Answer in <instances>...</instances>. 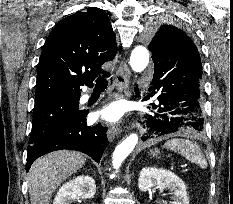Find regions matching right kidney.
Returning <instances> with one entry per match:
<instances>
[{
    "label": "right kidney",
    "instance_id": "1",
    "mask_svg": "<svg viewBox=\"0 0 233 204\" xmlns=\"http://www.w3.org/2000/svg\"><path fill=\"white\" fill-rule=\"evenodd\" d=\"M96 193L95 181L88 175L78 176L66 182L57 192L53 204H71L75 199L93 198Z\"/></svg>",
    "mask_w": 233,
    "mask_h": 204
}]
</instances>
